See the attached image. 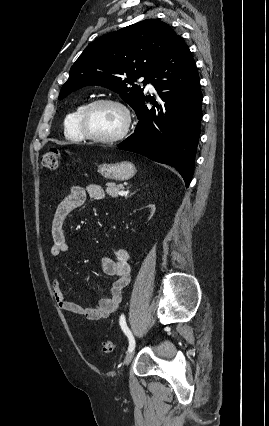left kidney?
Returning a JSON list of instances; mask_svg holds the SVG:
<instances>
[{"mask_svg":"<svg viewBox=\"0 0 269 426\" xmlns=\"http://www.w3.org/2000/svg\"><path fill=\"white\" fill-rule=\"evenodd\" d=\"M147 208H148V210H149V212H150V214H149V216H148V219H151V218H152V216H153V215H154V213H155V210H156L155 205H154V204H149V205H147Z\"/></svg>","mask_w":269,"mask_h":426,"instance_id":"5707ae66","label":"left kidney"}]
</instances>
